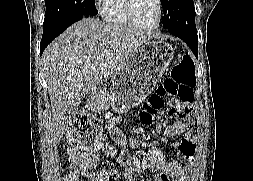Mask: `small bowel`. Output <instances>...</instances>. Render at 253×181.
I'll list each match as a JSON object with an SVG mask.
<instances>
[{
  "label": "small bowel",
  "mask_w": 253,
  "mask_h": 181,
  "mask_svg": "<svg viewBox=\"0 0 253 181\" xmlns=\"http://www.w3.org/2000/svg\"><path fill=\"white\" fill-rule=\"evenodd\" d=\"M192 122L193 117L189 115L171 126L172 134L180 135L186 132L184 140L177 146L179 158L176 160L159 159L149 164L148 168L156 172L151 181H170V176L173 181H189L196 161V143ZM105 129L118 144L135 146L136 139H128L114 121L108 122ZM68 161L72 170L69 178L73 181H109L115 175V171L108 167L96 170L98 156L92 152L69 148ZM139 169L138 166L130 163L126 166L124 175L127 179H131Z\"/></svg>",
  "instance_id": "obj_1"
}]
</instances>
